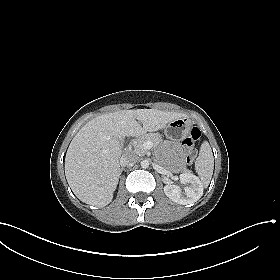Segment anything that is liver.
<instances>
[{"label":"liver","instance_id":"6515ba94","mask_svg":"<svg viewBox=\"0 0 280 280\" xmlns=\"http://www.w3.org/2000/svg\"><path fill=\"white\" fill-rule=\"evenodd\" d=\"M183 113L157 109L120 110L87 122L72 139L65 157V176L76 197L105 207L113 199L121 174L120 138L155 132Z\"/></svg>","mask_w":280,"mask_h":280}]
</instances>
